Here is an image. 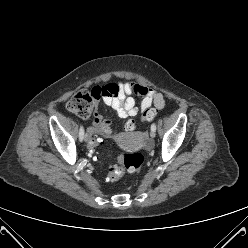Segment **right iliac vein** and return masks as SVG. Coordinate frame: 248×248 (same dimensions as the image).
Here are the masks:
<instances>
[{"label": "right iliac vein", "mask_w": 248, "mask_h": 248, "mask_svg": "<svg viewBox=\"0 0 248 248\" xmlns=\"http://www.w3.org/2000/svg\"><path fill=\"white\" fill-rule=\"evenodd\" d=\"M84 141L85 142H88L89 141V135L87 133L84 135Z\"/></svg>", "instance_id": "63e3f726"}]
</instances>
